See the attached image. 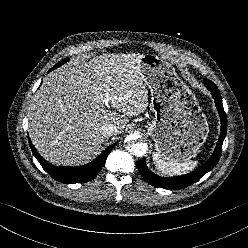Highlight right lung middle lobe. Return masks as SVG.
Listing matches in <instances>:
<instances>
[{"mask_svg": "<svg viewBox=\"0 0 248 248\" xmlns=\"http://www.w3.org/2000/svg\"><path fill=\"white\" fill-rule=\"evenodd\" d=\"M67 61H68V58L63 59L62 61L58 62V63L54 66V68H57V67L61 66L62 64H64V63L67 62Z\"/></svg>", "mask_w": 248, "mask_h": 248, "instance_id": "dd1d6c3e", "label": "right lung middle lobe"}]
</instances>
